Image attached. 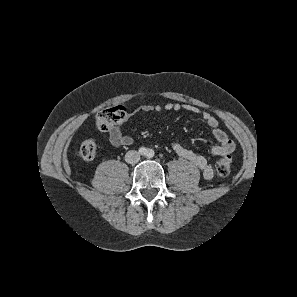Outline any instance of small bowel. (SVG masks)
Instances as JSON below:
<instances>
[{"label": "small bowel", "mask_w": 297, "mask_h": 297, "mask_svg": "<svg viewBox=\"0 0 297 297\" xmlns=\"http://www.w3.org/2000/svg\"><path fill=\"white\" fill-rule=\"evenodd\" d=\"M142 110L144 112H163V111H186L199 115L210 128L212 136L216 141V144L211 147V154L214 156H226L233 152L234 142L228 137L225 131L219 128L218 120L214 115L207 111H203L196 106L190 104H180V103H166L164 105L155 106H143ZM109 141L113 146L123 147L130 146L133 144L134 140L130 135H126L122 132L121 127L118 125L113 126L108 130ZM172 148L175 153L191 162L195 167L201 170L204 178L211 179L214 176V168L211 163L202 155L184 147L179 142H174Z\"/></svg>", "instance_id": "obj_1"}]
</instances>
